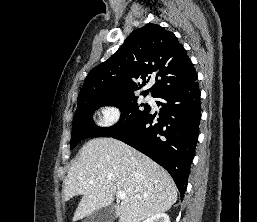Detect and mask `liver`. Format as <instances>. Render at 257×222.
<instances>
[{
    "label": "liver",
    "mask_w": 257,
    "mask_h": 222,
    "mask_svg": "<svg viewBox=\"0 0 257 222\" xmlns=\"http://www.w3.org/2000/svg\"><path fill=\"white\" fill-rule=\"evenodd\" d=\"M118 191L126 194L115 205L121 222H141L168 211L177 200L171 176L146 155L113 138L88 141L65 179V201L83 196L72 220L109 206Z\"/></svg>",
    "instance_id": "obj_1"
}]
</instances>
